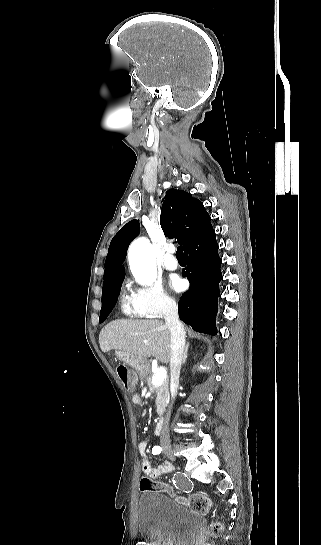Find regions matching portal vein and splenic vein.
<instances>
[{"instance_id": "1", "label": "portal vein and splenic vein", "mask_w": 321, "mask_h": 545, "mask_svg": "<svg viewBox=\"0 0 321 545\" xmlns=\"http://www.w3.org/2000/svg\"><path fill=\"white\" fill-rule=\"evenodd\" d=\"M166 377H167L166 369H164V367H160V369H157L156 373H154L152 377L153 385H162Z\"/></svg>"}]
</instances>
